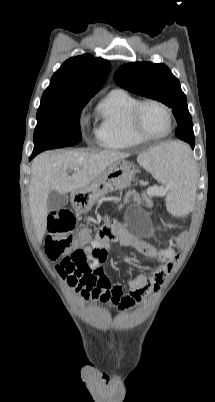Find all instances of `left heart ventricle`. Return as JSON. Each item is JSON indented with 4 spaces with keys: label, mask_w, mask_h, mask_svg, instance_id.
<instances>
[{
    "label": "left heart ventricle",
    "mask_w": 215,
    "mask_h": 402,
    "mask_svg": "<svg viewBox=\"0 0 215 402\" xmlns=\"http://www.w3.org/2000/svg\"><path fill=\"white\" fill-rule=\"evenodd\" d=\"M143 129L152 135H161L168 129V118L164 110L156 105H146L141 113Z\"/></svg>",
    "instance_id": "b2bd125f"
}]
</instances>
